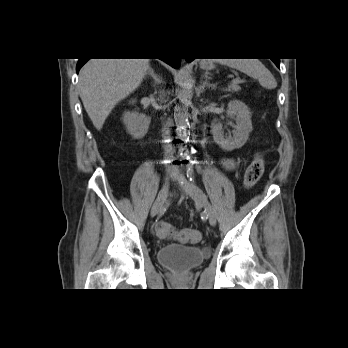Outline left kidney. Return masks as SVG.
Returning <instances> with one entry per match:
<instances>
[{"mask_svg": "<svg viewBox=\"0 0 348 348\" xmlns=\"http://www.w3.org/2000/svg\"><path fill=\"white\" fill-rule=\"evenodd\" d=\"M227 114L236 122L233 125V136L224 135L222 124H216L213 129L214 141L225 151L241 148L248 140L252 131L251 113L248 107L239 100L230 101Z\"/></svg>", "mask_w": 348, "mask_h": 348, "instance_id": "5707ae66", "label": "left kidney"}]
</instances>
